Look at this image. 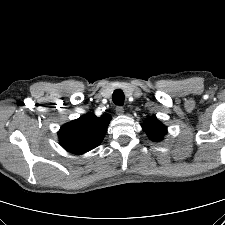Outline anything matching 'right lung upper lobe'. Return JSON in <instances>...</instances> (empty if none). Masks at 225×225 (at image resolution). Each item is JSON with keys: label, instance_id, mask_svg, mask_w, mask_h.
Returning a JSON list of instances; mask_svg holds the SVG:
<instances>
[{"label": "right lung upper lobe", "instance_id": "1", "mask_svg": "<svg viewBox=\"0 0 225 225\" xmlns=\"http://www.w3.org/2000/svg\"><path fill=\"white\" fill-rule=\"evenodd\" d=\"M111 117L86 114L64 124L59 132L61 146L74 154H84L97 147L103 140Z\"/></svg>", "mask_w": 225, "mask_h": 225}]
</instances>
